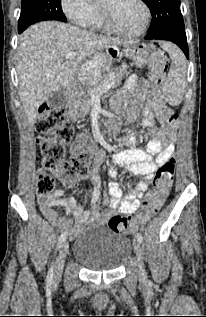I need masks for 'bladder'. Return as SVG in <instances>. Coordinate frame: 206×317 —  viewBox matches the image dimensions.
<instances>
[{
	"instance_id": "1",
	"label": "bladder",
	"mask_w": 206,
	"mask_h": 317,
	"mask_svg": "<svg viewBox=\"0 0 206 317\" xmlns=\"http://www.w3.org/2000/svg\"><path fill=\"white\" fill-rule=\"evenodd\" d=\"M133 251L132 241L104 226L82 229L73 246V256L87 269L110 271L119 268Z\"/></svg>"
}]
</instances>
